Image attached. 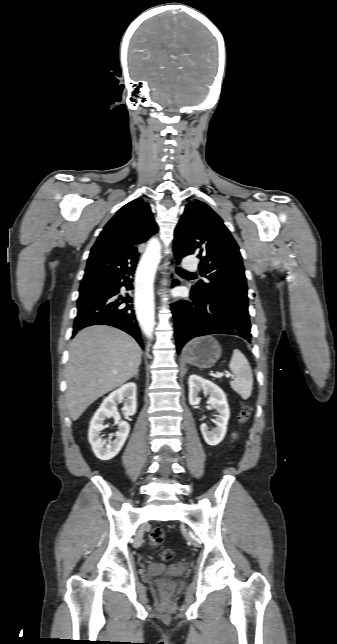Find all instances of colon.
<instances>
[{"instance_id": "5ec220e1", "label": "colon", "mask_w": 337, "mask_h": 644, "mask_svg": "<svg viewBox=\"0 0 337 644\" xmlns=\"http://www.w3.org/2000/svg\"><path fill=\"white\" fill-rule=\"evenodd\" d=\"M249 415H250L249 407L246 406V405L242 406V408L240 409V412L238 414V418H237L238 423L240 425L245 423L247 421ZM238 437H239V431L235 430L232 433L231 439H232V441H236L238 439ZM163 541H164V531L159 527L154 528L149 534V544L152 547H158L163 543ZM172 556H173V552L171 550H165L163 552V554H162V557L165 560L171 559ZM172 590H173V587H172L171 582L169 580L163 579L161 581V584H160V591H161L162 598L164 600L169 599V597L172 594Z\"/></svg>"}]
</instances>
